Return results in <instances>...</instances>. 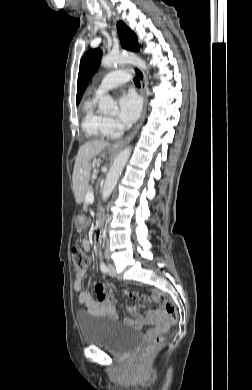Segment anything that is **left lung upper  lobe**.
I'll return each mask as SVG.
<instances>
[{"mask_svg": "<svg viewBox=\"0 0 252 390\" xmlns=\"http://www.w3.org/2000/svg\"><path fill=\"white\" fill-rule=\"evenodd\" d=\"M118 35L122 44V47L131 50L139 51L140 45L138 44L135 33L128 28L123 22L117 23ZM102 51L100 49H93L87 51L80 61V69L78 75V89L76 103L79 104L82 98L83 92L91 78L99 66V60L101 58Z\"/></svg>", "mask_w": 252, "mask_h": 390, "instance_id": "left-lung-upper-lobe-1", "label": "left lung upper lobe"}]
</instances>
